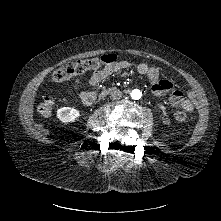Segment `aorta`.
I'll return each mask as SVG.
<instances>
[{"instance_id": "obj_1", "label": "aorta", "mask_w": 221, "mask_h": 221, "mask_svg": "<svg viewBox=\"0 0 221 221\" xmlns=\"http://www.w3.org/2000/svg\"><path fill=\"white\" fill-rule=\"evenodd\" d=\"M140 96H141V94H140V91H138V90H132L130 92V97L132 99H138V98H140Z\"/></svg>"}]
</instances>
